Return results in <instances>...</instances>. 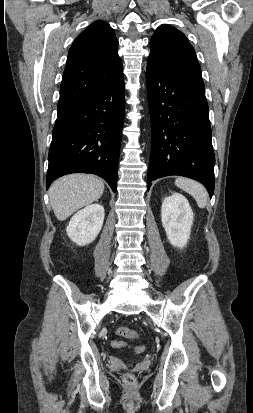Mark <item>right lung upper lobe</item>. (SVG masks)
I'll return each mask as SVG.
<instances>
[{
    "mask_svg": "<svg viewBox=\"0 0 253 413\" xmlns=\"http://www.w3.org/2000/svg\"><path fill=\"white\" fill-rule=\"evenodd\" d=\"M110 25L95 21L73 42L60 86L58 108L103 89L123 73Z\"/></svg>",
    "mask_w": 253,
    "mask_h": 413,
    "instance_id": "right-lung-upper-lobe-1",
    "label": "right lung upper lobe"
}]
</instances>
